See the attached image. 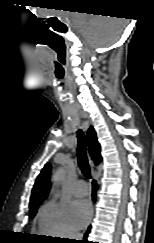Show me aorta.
<instances>
[{"label":"aorta","instance_id":"762f6f07","mask_svg":"<svg viewBox=\"0 0 154 243\" xmlns=\"http://www.w3.org/2000/svg\"><path fill=\"white\" fill-rule=\"evenodd\" d=\"M67 175V170L65 168L59 169L54 175H53V183L54 186H58L60 183H62Z\"/></svg>","mask_w":154,"mask_h":243}]
</instances>
